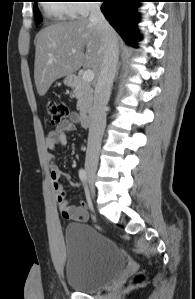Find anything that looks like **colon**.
<instances>
[{
    "mask_svg": "<svg viewBox=\"0 0 195 299\" xmlns=\"http://www.w3.org/2000/svg\"><path fill=\"white\" fill-rule=\"evenodd\" d=\"M47 111L52 124H60L69 115V107L64 102L49 101L47 103ZM143 276H137L134 280L135 283H141Z\"/></svg>",
    "mask_w": 195,
    "mask_h": 299,
    "instance_id": "colon-1",
    "label": "colon"
}]
</instances>
